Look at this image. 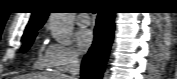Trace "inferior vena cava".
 Listing matches in <instances>:
<instances>
[{
	"mask_svg": "<svg viewBox=\"0 0 177 79\" xmlns=\"http://www.w3.org/2000/svg\"><path fill=\"white\" fill-rule=\"evenodd\" d=\"M80 70V61L76 54H72L70 57V62L68 66V71L71 74L72 79H76V76L79 74Z\"/></svg>",
	"mask_w": 177,
	"mask_h": 79,
	"instance_id": "602c4592",
	"label": "inferior vena cava"
}]
</instances>
